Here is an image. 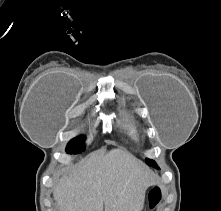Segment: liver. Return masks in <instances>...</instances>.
<instances>
[{"mask_svg":"<svg viewBox=\"0 0 221 211\" xmlns=\"http://www.w3.org/2000/svg\"><path fill=\"white\" fill-rule=\"evenodd\" d=\"M153 184V173L130 153L102 149L63 175L53 195L60 211H141Z\"/></svg>","mask_w":221,"mask_h":211,"instance_id":"1","label":"liver"}]
</instances>
